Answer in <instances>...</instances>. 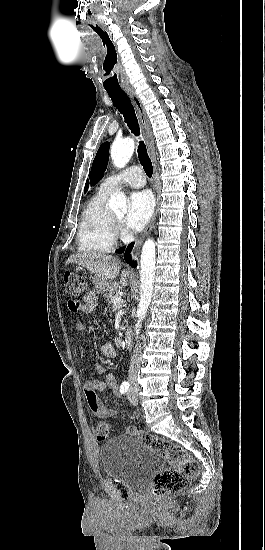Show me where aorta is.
Segmentation results:
<instances>
[{"mask_svg": "<svg viewBox=\"0 0 265 550\" xmlns=\"http://www.w3.org/2000/svg\"><path fill=\"white\" fill-rule=\"evenodd\" d=\"M135 149L133 139L126 138L116 142L111 147V158L117 168H123L129 162ZM111 209L127 211V199L123 192L113 195L109 200ZM155 278V242L153 239L145 241L140 257V302L136 312L137 322L135 334L138 337L141 323L144 320L151 303Z\"/></svg>", "mask_w": 265, "mask_h": 550, "instance_id": "1", "label": "aorta"}]
</instances>
